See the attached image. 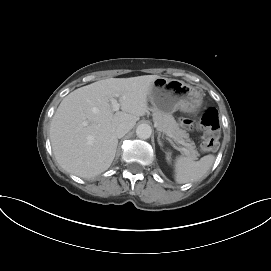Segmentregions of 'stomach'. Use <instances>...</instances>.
Wrapping results in <instances>:
<instances>
[{
    "label": "stomach",
    "mask_w": 271,
    "mask_h": 271,
    "mask_svg": "<svg viewBox=\"0 0 271 271\" xmlns=\"http://www.w3.org/2000/svg\"><path fill=\"white\" fill-rule=\"evenodd\" d=\"M148 99L155 110L163 113L180 110L195 114L202 106L203 94L183 81L159 77L152 83Z\"/></svg>",
    "instance_id": "0dacf381"
}]
</instances>
